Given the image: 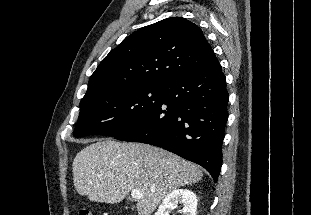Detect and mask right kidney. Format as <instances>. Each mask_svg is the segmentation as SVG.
I'll list each match as a JSON object with an SVG mask.
<instances>
[{
    "instance_id": "obj_1",
    "label": "right kidney",
    "mask_w": 311,
    "mask_h": 215,
    "mask_svg": "<svg viewBox=\"0 0 311 215\" xmlns=\"http://www.w3.org/2000/svg\"><path fill=\"white\" fill-rule=\"evenodd\" d=\"M177 204L183 205L181 210L183 215H196L197 196L188 189H176L170 192L164 198L155 215H168Z\"/></svg>"
}]
</instances>
